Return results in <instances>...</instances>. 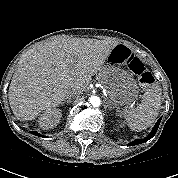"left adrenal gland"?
<instances>
[{
  "instance_id": "a2214340",
  "label": "left adrenal gland",
  "mask_w": 178,
  "mask_h": 178,
  "mask_svg": "<svg viewBox=\"0 0 178 178\" xmlns=\"http://www.w3.org/2000/svg\"><path fill=\"white\" fill-rule=\"evenodd\" d=\"M107 106H108L109 109H112V108L114 109V108H116V106H114V105H113L111 102H109V101L107 102Z\"/></svg>"
}]
</instances>
